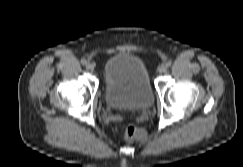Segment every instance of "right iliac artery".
Masks as SVG:
<instances>
[{"label": "right iliac artery", "mask_w": 243, "mask_h": 167, "mask_svg": "<svg viewBox=\"0 0 243 167\" xmlns=\"http://www.w3.org/2000/svg\"><path fill=\"white\" fill-rule=\"evenodd\" d=\"M81 63L83 64V65H86L87 64V60L86 59H81Z\"/></svg>", "instance_id": "obj_1"}]
</instances>
